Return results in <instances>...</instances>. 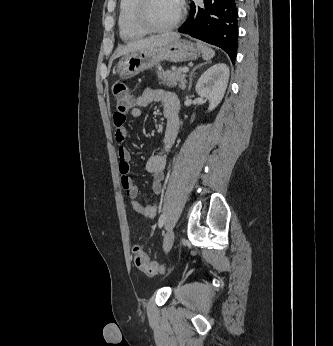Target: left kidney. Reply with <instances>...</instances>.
Instances as JSON below:
<instances>
[{
    "label": "left kidney",
    "instance_id": "1",
    "mask_svg": "<svg viewBox=\"0 0 333 346\" xmlns=\"http://www.w3.org/2000/svg\"><path fill=\"white\" fill-rule=\"evenodd\" d=\"M229 80V67L218 63L208 68L198 79L195 90L209 100V111L215 109L224 97Z\"/></svg>",
    "mask_w": 333,
    "mask_h": 346
}]
</instances>
